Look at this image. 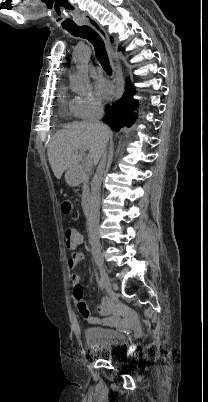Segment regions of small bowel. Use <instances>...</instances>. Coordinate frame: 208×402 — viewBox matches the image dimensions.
Segmentation results:
<instances>
[{
  "mask_svg": "<svg viewBox=\"0 0 208 402\" xmlns=\"http://www.w3.org/2000/svg\"><path fill=\"white\" fill-rule=\"evenodd\" d=\"M79 241L84 242L85 238L79 235ZM72 257V258H71ZM71 257L67 259V264L73 267L83 257L82 253L73 252ZM71 281L73 284V297L83 298L84 290L80 284V277L78 274L71 275ZM102 314L100 317H88L90 322L96 324V327H102L107 329L108 327H117L119 330H133L136 327L134 321H138L139 312L137 309H130L127 315L125 309H122L120 304L115 303L112 300H104L103 304L98 308ZM117 323V324H115Z\"/></svg>",
  "mask_w": 208,
  "mask_h": 402,
  "instance_id": "c3829d8e",
  "label": "small bowel"
}]
</instances>
